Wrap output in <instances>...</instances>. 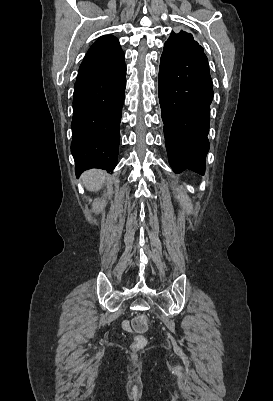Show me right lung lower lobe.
<instances>
[{
    "instance_id": "obj_1",
    "label": "right lung lower lobe",
    "mask_w": 273,
    "mask_h": 401,
    "mask_svg": "<svg viewBox=\"0 0 273 401\" xmlns=\"http://www.w3.org/2000/svg\"><path fill=\"white\" fill-rule=\"evenodd\" d=\"M124 58L74 85L71 153L75 172L111 171L118 159L119 126L126 86Z\"/></svg>"
}]
</instances>
